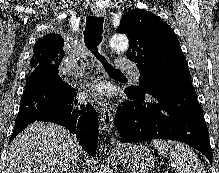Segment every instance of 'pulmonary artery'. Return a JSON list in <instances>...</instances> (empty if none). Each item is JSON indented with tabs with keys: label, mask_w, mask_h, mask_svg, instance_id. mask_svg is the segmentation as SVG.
<instances>
[{
	"label": "pulmonary artery",
	"mask_w": 219,
	"mask_h": 173,
	"mask_svg": "<svg viewBox=\"0 0 219 173\" xmlns=\"http://www.w3.org/2000/svg\"><path fill=\"white\" fill-rule=\"evenodd\" d=\"M116 69L128 72L133 80L138 81L141 77V73L139 69L134 65V63L130 62L125 58H119L116 60ZM73 74L79 76L82 74V69L75 68L73 70Z\"/></svg>",
	"instance_id": "obj_1"
}]
</instances>
